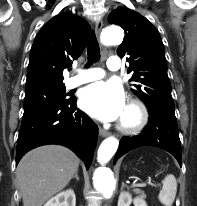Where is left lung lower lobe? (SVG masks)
Returning a JSON list of instances; mask_svg holds the SVG:
<instances>
[{"label": "left lung lower lobe", "instance_id": "left-lung-lower-lobe-1", "mask_svg": "<svg viewBox=\"0 0 197 206\" xmlns=\"http://www.w3.org/2000/svg\"><path fill=\"white\" fill-rule=\"evenodd\" d=\"M141 146H155L170 152L182 166L181 144L175 114L165 110L149 111L148 124L137 136L120 140L114 163L126 152Z\"/></svg>", "mask_w": 197, "mask_h": 206}]
</instances>
